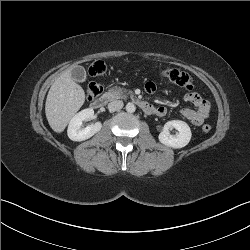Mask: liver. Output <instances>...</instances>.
<instances>
[{
  "label": "liver",
  "instance_id": "liver-1",
  "mask_svg": "<svg viewBox=\"0 0 250 250\" xmlns=\"http://www.w3.org/2000/svg\"><path fill=\"white\" fill-rule=\"evenodd\" d=\"M85 102V92L71 77V69L63 71L51 85L45 103V113L53 131L61 133L72 116Z\"/></svg>",
  "mask_w": 250,
  "mask_h": 250
}]
</instances>
